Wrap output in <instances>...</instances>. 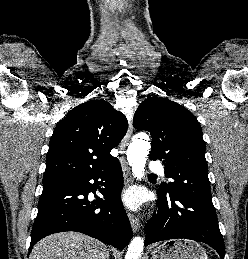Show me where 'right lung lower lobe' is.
<instances>
[{"label": "right lung lower lobe", "mask_w": 248, "mask_h": 259, "mask_svg": "<svg viewBox=\"0 0 248 259\" xmlns=\"http://www.w3.org/2000/svg\"><path fill=\"white\" fill-rule=\"evenodd\" d=\"M99 185L104 188L100 189ZM122 186L123 175L118 159L104 170L43 184L29 252L43 237L64 231L81 232L123 249L132 237V230L120 200ZM96 189L105 200L97 198V201L90 202L88 193H94Z\"/></svg>", "instance_id": "98d812e1"}]
</instances>
